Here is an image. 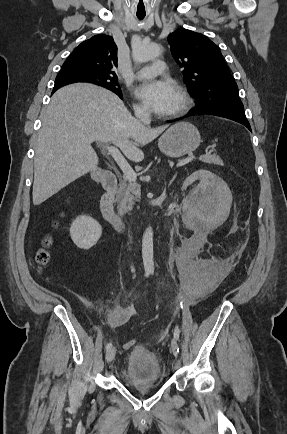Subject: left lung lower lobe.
Returning a JSON list of instances; mask_svg holds the SVG:
<instances>
[{
  "instance_id": "1",
  "label": "left lung lower lobe",
  "mask_w": 287,
  "mask_h": 434,
  "mask_svg": "<svg viewBox=\"0 0 287 434\" xmlns=\"http://www.w3.org/2000/svg\"><path fill=\"white\" fill-rule=\"evenodd\" d=\"M202 114H209V115H215L220 116L224 118H228L231 120H234L236 122H239L246 126L249 130H251L250 124L245 116L244 108L243 107H235V106H222L217 108H210V107H196L192 109L186 116L182 118H186L189 116L194 115H202ZM181 119V118H180ZM176 120L168 121V123L173 122Z\"/></svg>"
}]
</instances>
